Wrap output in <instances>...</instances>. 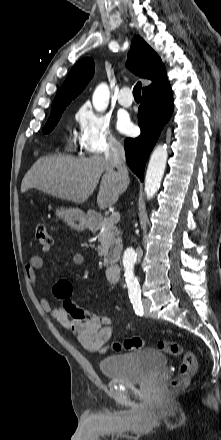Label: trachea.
Segmentation results:
<instances>
[{
	"label": "trachea",
	"instance_id": "obj_1",
	"mask_svg": "<svg viewBox=\"0 0 221 440\" xmlns=\"http://www.w3.org/2000/svg\"><path fill=\"white\" fill-rule=\"evenodd\" d=\"M141 87H142L141 82H138V83L134 86V88H133V95H134V98H135V99H140Z\"/></svg>",
	"mask_w": 221,
	"mask_h": 440
}]
</instances>
